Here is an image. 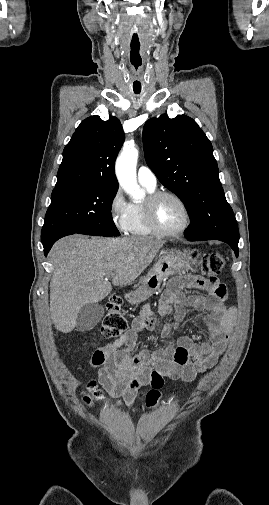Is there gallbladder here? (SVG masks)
Segmentation results:
<instances>
[{
	"label": "gallbladder",
	"instance_id": "bac80fb5",
	"mask_svg": "<svg viewBox=\"0 0 269 505\" xmlns=\"http://www.w3.org/2000/svg\"><path fill=\"white\" fill-rule=\"evenodd\" d=\"M103 315L104 308L99 303L86 304L78 313L76 328L79 331H89L98 324Z\"/></svg>",
	"mask_w": 269,
	"mask_h": 505
}]
</instances>
